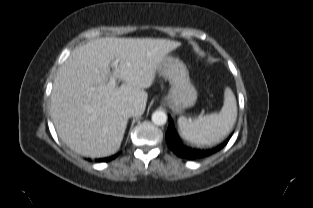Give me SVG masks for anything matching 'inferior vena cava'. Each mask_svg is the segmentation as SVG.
<instances>
[{
  "instance_id": "inferior-vena-cava-1",
  "label": "inferior vena cava",
  "mask_w": 313,
  "mask_h": 208,
  "mask_svg": "<svg viewBox=\"0 0 313 208\" xmlns=\"http://www.w3.org/2000/svg\"><path fill=\"white\" fill-rule=\"evenodd\" d=\"M119 113L124 117H131L135 113V106L132 103L123 104L119 107Z\"/></svg>"
}]
</instances>
